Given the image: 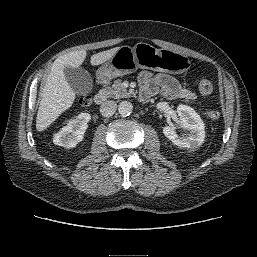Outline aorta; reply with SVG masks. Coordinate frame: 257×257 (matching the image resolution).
I'll return each instance as SVG.
<instances>
[{"label":"aorta","mask_w":257,"mask_h":257,"mask_svg":"<svg viewBox=\"0 0 257 257\" xmlns=\"http://www.w3.org/2000/svg\"><path fill=\"white\" fill-rule=\"evenodd\" d=\"M133 106L129 101H122L119 103L118 111L122 116H128L131 114Z\"/></svg>","instance_id":"1"}]
</instances>
